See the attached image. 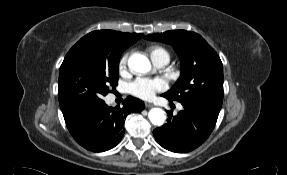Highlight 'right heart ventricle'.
<instances>
[{
	"instance_id": "1",
	"label": "right heart ventricle",
	"mask_w": 287,
	"mask_h": 175,
	"mask_svg": "<svg viewBox=\"0 0 287 175\" xmlns=\"http://www.w3.org/2000/svg\"><path fill=\"white\" fill-rule=\"evenodd\" d=\"M150 55H151L152 59H154L160 55H166L167 57H169V53L164 48L159 47V46L152 47L150 49Z\"/></svg>"
}]
</instances>
